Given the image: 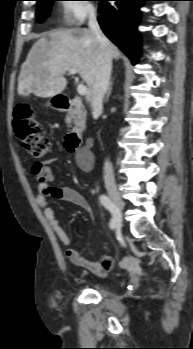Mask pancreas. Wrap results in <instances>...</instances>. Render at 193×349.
Masks as SVG:
<instances>
[{"instance_id":"obj_1","label":"pancreas","mask_w":193,"mask_h":349,"mask_svg":"<svg viewBox=\"0 0 193 349\" xmlns=\"http://www.w3.org/2000/svg\"><path fill=\"white\" fill-rule=\"evenodd\" d=\"M74 107H75V114H76V119L75 123L80 129L85 128V121H86V110L84 106L82 105V101L80 98H76L74 100Z\"/></svg>"}]
</instances>
